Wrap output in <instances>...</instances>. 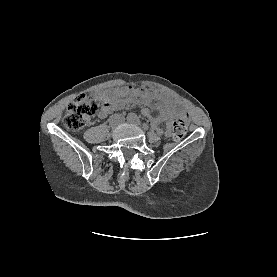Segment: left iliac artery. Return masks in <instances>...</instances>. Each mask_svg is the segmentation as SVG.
Segmentation results:
<instances>
[{
    "label": "left iliac artery",
    "instance_id": "obj_1",
    "mask_svg": "<svg viewBox=\"0 0 277 277\" xmlns=\"http://www.w3.org/2000/svg\"><path fill=\"white\" fill-rule=\"evenodd\" d=\"M135 123H136L137 125H140V124H141V121H140L139 119H135Z\"/></svg>",
    "mask_w": 277,
    "mask_h": 277
}]
</instances>
